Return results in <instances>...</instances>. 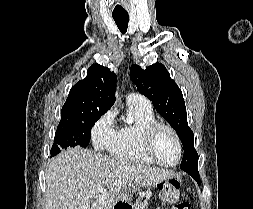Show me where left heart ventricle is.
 <instances>
[{
    "label": "left heart ventricle",
    "instance_id": "obj_1",
    "mask_svg": "<svg viewBox=\"0 0 253 209\" xmlns=\"http://www.w3.org/2000/svg\"><path fill=\"white\" fill-rule=\"evenodd\" d=\"M153 152L163 162L171 164L178 156L177 145L172 134L166 129H159L153 140Z\"/></svg>",
    "mask_w": 253,
    "mask_h": 209
}]
</instances>
